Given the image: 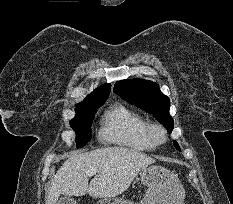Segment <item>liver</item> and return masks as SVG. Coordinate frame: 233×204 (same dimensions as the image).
I'll return each instance as SVG.
<instances>
[{"label":"liver","mask_w":233,"mask_h":204,"mask_svg":"<svg viewBox=\"0 0 233 204\" xmlns=\"http://www.w3.org/2000/svg\"><path fill=\"white\" fill-rule=\"evenodd\" d=\"M155 160L134 149L103 147L89 152L73 153L64 162L50 182L45 204H57L60 195L111 198L128 189L141 169ZM99 174L88 185L87 171Z\"/></svg>","instance_id":"liver-1"}]
</instances>
